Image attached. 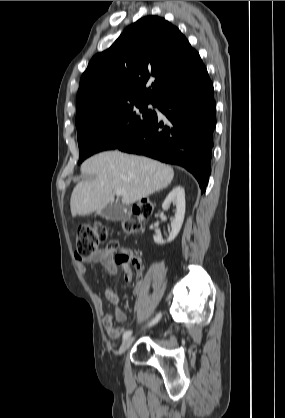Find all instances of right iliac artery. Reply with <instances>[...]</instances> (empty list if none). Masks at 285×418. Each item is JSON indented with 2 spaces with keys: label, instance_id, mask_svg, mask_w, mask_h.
<instances>
[{
  "label": "right iliac artery",
  "instance_id": "1",
  "mask_svg": "<svg viewBox=\"0 0 285 418\" xmlns=\"http://www.w3.org/2000/svg\"><path fill=\"white\" fill-rule=\"evenodd\" d=\"M160 318H161V313L157 314V316L150 322L149 326L154 325L155 323H157L160 320ZM131 334H132V330H127L123 335V340L130 337Z\"/></svg>",
  "mask_w": 285,
  "mask_h": 418
}]
</instances>
